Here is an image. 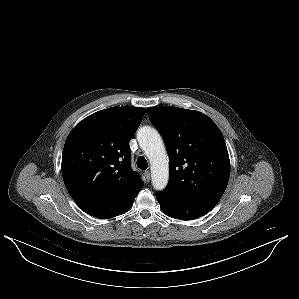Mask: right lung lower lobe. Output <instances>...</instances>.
Segmentation results:
<instances>
[{
    "mask_svg": "<svg viewBox=\"0 0 299 299\" xmlns=\"http://www.w3.org/2000/svg\"><path fill=\"white\" fill-rule=\"evenodd\" d=\"M84 212L101 218L107 219L126 213L132 206L129 205L127 209L122 212H117V199L114 195H102L93 200L80 201L76 203Z\"/></svg>",
    "mask_w": 299,
    "mask_h": 299,
    "instance_id": "right-lung-lower-lobe-1",
    "label": "right lung lower lobe"
}]
</instances>
